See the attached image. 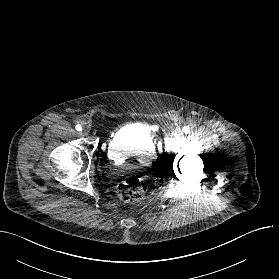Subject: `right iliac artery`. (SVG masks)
I'll return each instance as SVG.
<instances>
[{"mask_svg": "<svg viewBox=\"0 0 279 279\" xmlns=\"http://www.w3.org/2000/svg\"><path fill=\"white\" fill-rule=\"evenodd\" d=\"M75 128H76V130H77V131H81V130H82V126H81V125H79V124H78V125H76V127H75Z\"/></svg>", "mask_w": 279, "mask_h": 279, "instance_id": "obj_1", "label": "right iliac artery"}]
</instances>
